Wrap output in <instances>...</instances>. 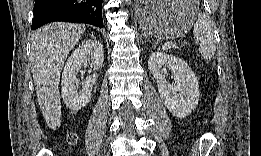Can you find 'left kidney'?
I'll return each instance as SVG.
<instances>
[{"label":"left kidney","instance_id":"5707ae66","mask_svg":"<svg viewBox=\"0 0 261 156\" xmlns=\"http://www.w3.org/2000/svg\"><path fill=\"white\" fill-rule=\"evenodd\" d=\"M171 69L175 85L167 83L163 67ZM148 68L157 82L160 98L166 108L176 117L185 118L199 102L198 80L179 57L163 52L153 53L148 60Z\"/></svg>","mask_w":261,"mask_h":156}]
</instances>
